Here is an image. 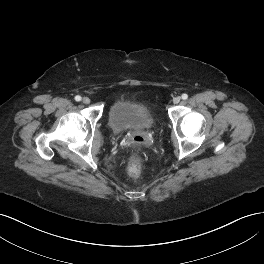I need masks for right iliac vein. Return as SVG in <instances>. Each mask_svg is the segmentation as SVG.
<instances>
[{"instance_id":"right-iliac-vein-1","label":"right iliac vein","mask_w":264,"mask_h":264,"mask_svg":"<svg viewBox=\"0 0 264 264\" xmlns=\"http://www.w3.org/2000/svg\"><path fill=\"white\" fill-rule=\"evenodd\" d=\"M82 102H83L84 104H89V103H90V99H89L88 97H83V98H82Z\"/></svg>"}]
</instances>
